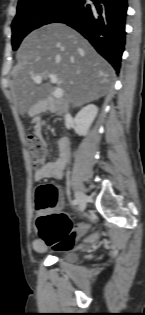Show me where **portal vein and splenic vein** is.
<instances>
[{
  "label": "portal vein and splenic vein",
  "mask_w": 145,
  "mask_h": 315,
  "mask_svg": "<svg viewBox=\"0 0 145 315\" xmlns=\"http://www.w3.org/2000/svg\"><path fill=\"white\" fill-rule=\"evenodd\" d=\"M48 76L52 83H57V77L54 74H49ZM33 79L36 83H41L42 81V77L40 75L35 76ZM53 96L55 98H61L63 96L62 88H56L53 92Z\"/></svg>",
  "instance_id": "18ae733b"
}]
</instances>
